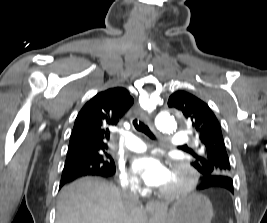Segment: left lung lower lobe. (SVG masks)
Segmentation results:
<instances>
[{
    "label": "left lung lower lobe",
    "instance_id": "obj_1",
    "mask_svg": "<svg viewBox=\"0 0 267 223\" xmlns=\"http://www.w3.org/2000/svg\"><path fill=\"white\" fill-rule=\"evenodd\" d=\"M203 180L197 187V192H214L216 195H233V182L229 173H202Z\"/></svg>",
    "mask_w": 267,
    "mask_h": 223
}]
</instances>
